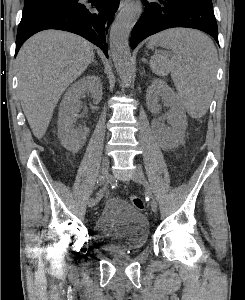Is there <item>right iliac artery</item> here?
Here are the masks:
<instances>
[{"label":"right iliac artery","mask_w":245,"mask_h":300,"mask_svg":"<svg viewBox=\"0 0 245 300\" xmlns=\"http://www.w3.org/2000/svg\"><path fill=\"white\" fill-rule=\"evenodd\" d=\"M99 181H97L99 183V185H107V182L110 181V178L109 177H102L100 176L99 177ZM104 189V188H103ZM106 189V188H105ZM104 196V191L103 190H100L98 193H97V196L94 197V203L96 205H99L101 203V198Z\"/></svg>","instance_id":"right-iliac-artery-1"}]
</instances>
